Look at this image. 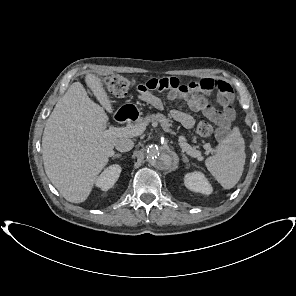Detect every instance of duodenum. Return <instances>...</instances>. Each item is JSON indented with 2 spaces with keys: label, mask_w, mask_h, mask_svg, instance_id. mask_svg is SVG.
<instances>
[{
  "label": "duodenum",
  "mask_w": 296,
  "mask_h": 296,
  "mask_svg": "<svg viewBox=\"0 0 296 296\" xmlns=\"http://www.w3.org/2000/svg\"><path fill=\"white\" fill-rule=\"evenodd\" d=\"M138 112L135 108H125L118 111L115 115V119L119 122H127L137 119Z\"/></svg>",
  "instance_id": "duodenum-1"
}]
</instances>
